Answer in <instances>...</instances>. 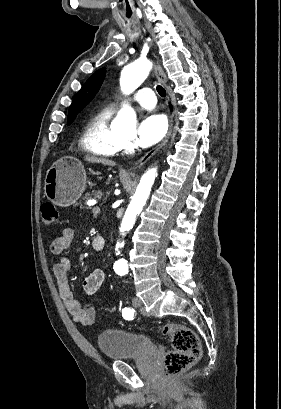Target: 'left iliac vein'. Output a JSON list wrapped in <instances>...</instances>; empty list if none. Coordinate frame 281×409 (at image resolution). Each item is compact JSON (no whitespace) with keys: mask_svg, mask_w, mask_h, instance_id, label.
I'll list each match as a JSON object with an SVG mask.
<instances>
[{"mask_svg":"<svg viewBox=\"0 0 281 409\" xmlns=\"http://www.w3.org/2000/svg\"><path fill=\"white\" fill-rule=\"evenodd\" d=\"M132 303L134 307H140L142 305L141 299L137 296L133 298Z\"/></svg>","mask_w":281,"mask_h":409,"instance_id":"obj_1","label":"left iliac vein"}]
</instances>
